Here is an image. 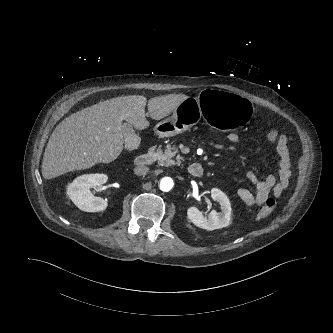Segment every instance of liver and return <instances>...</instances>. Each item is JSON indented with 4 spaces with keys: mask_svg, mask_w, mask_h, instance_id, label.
Here are the masks:
<instances>
[{
    "mask_svg": "<svg viewBox=\"0 0 333 333\" xmlns=\"http://www.w3.org/2000/svg\"><path fill=\"white\" fill-rule=\"evenodd\" d=\"M187 98L168 94L149 99L147 107L154 120L173 112ZM147 99L141 95L115 97L82 109L60 122L45 148L42 175L45 179L64 173L110 163L122 152L123 120L142 130L149 126L145 117Z\"/></svg>",
    "mask_w": 333,
    "mask_h": 333,
    "instance_id": "6515ba94",
    "label": "liver"
}]
</instances>
